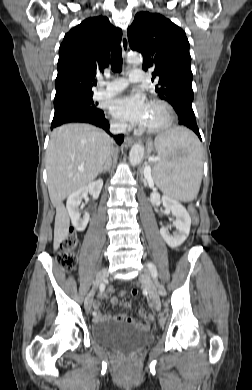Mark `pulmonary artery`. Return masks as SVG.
Wrapping results in <instances>:
<instances>
[{"mask_svg": "<svg viewBox=\"0 0 252 390\" xmlns=\"http://www.w3.org/2000/svg\"><path fill=\"white\" fill-rule=\"evenodd\" d=\"M143 80L144 71L141 69H134L129 72L127 79L119 78L110 83L101 82L100 89L95 92V97L102 98L113 96L126 88L129 82L137 83Z\"/></svg>", "mask_w": 252, "mask_h": 390, "instance_id": "obj_1", "label": "pulmonary artery"}]
</instances>
